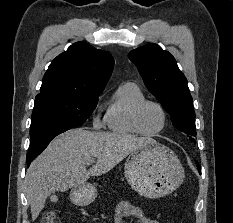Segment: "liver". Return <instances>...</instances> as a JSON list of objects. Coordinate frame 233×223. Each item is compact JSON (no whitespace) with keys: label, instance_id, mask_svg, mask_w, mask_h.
I'll list each match as a JSON object with an SVG mask.
<instances>
[{"label":"liver","instance_id":"6515ba94","mask_svg":"<svg viewBox=\"0 0 233 223\" xmlns=\"http://www.w3.org/2000/svg\"><path fill=\"white\" fill-rule=\"evenodd\" d=\"M152 137L130 133L88 131L76 127L57 135L48 147L30 163L25 175V189L33 221L54 191H66L88 181L91 175H104ZM97 157V161H95ZM87 169L90 163H94Z\"/></svg>","mask_w":233,"mask_h":223}]
</instances>
